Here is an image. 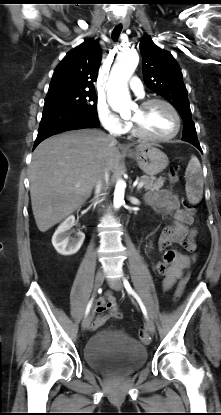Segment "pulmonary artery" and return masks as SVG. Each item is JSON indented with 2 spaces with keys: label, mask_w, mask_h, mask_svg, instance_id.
<instances>
[{
  "label": "pulmonary artery",
  "mask_w": 221,
  "mask_h": 415,
  "mask_svg": "<svg viewBox=\"0 0 221 415\" xmlns=\"http://www.w3.org/2000/svg\"><path fill=\"white\" fill-rule=\"evenodd\" d=\"M130 87L139 97L144 96L143 84L137 77H132L130 80Z\"/></svg>",
  "instance_id": "obj_1"
}]
</instances>
